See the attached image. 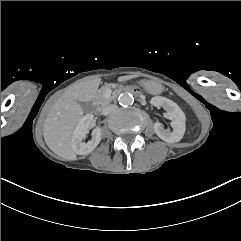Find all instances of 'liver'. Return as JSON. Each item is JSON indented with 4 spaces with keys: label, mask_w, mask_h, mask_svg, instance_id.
<instances>
[{
    "label": "liver",
    "mask_w": 241,
    "mask_h": 241,
    "mask_svg": "<svg viewBox=\"0 0 241 241\" xmlns=\"http://www.w3.org/2000/svg\"><path fill=\"white\" fill-rule=\"evenodd\" d=\"M101 78H88L68 90L52 105L44 122L43 136L47 146L58 156L76 160L71 146V136L75 125L83 116L78 103L95 97Z\"/></svg>",
    "instance_id": "1"
}]
</instances>
